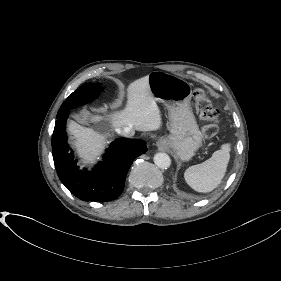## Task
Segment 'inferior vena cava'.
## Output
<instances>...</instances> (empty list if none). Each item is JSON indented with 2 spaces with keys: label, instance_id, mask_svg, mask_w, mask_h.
Masks as SVG:
<instances>
[{
  "label": "inferior vena cava",
  "instance_id": "inferior-vena-cava-1",
  "mask_svg": "<svg viewBox=\"0 0 281 281\" xmlns=\"http://www.w3.org/2000/svg\"><path fill=\"white\" fill-rule=\"evenodd\" d=\"M116 131L124 137H132L134 135V131L129 127L117 128Z\"/></svg>",
  "mask_w": 281,
  "mask_h": 281
}]
</instances>
